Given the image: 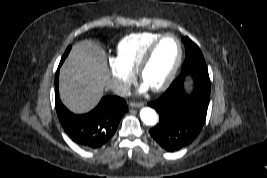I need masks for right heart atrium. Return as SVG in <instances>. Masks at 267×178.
<instances>
[{"instance_id": "obj_1", "label": "right heart atrium", "mask_w": 267, "mask_h": 178, "mask_svg": "<svg viewBox=\"0 0 267 178\" xmlns=\"http://www.w3.org/2000/svg\"><path fill=\"white\" fill-rule=\"evenodd\" d=\"M108 65L115 92L119 95L125 94L134 80V73L121 65L116 58L110 57Z\"/></svg>"}]
</instances>
